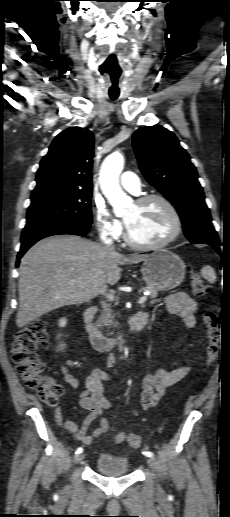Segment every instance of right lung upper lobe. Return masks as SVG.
Returning a JSON list of instances; mask_svg holds the SVG:
<instances>
[{
	"mask_svg": "<svg viewBox=\"0 0 230 517\" xmlns=\"http://www.w3.org/2000/svg\"><path fill=\"white\" fill-rule=\"evenodd\" d=\"M93 134L80 127H70L58 134L40 162L37 185L31 199L45 195L92 190Z\"/></svg>",
	"mask_w": 230,
	"mask_h": 517,
	"instance_id": "cb5924a9",
	"label": "right lung upper lobe"
}]
</instances>
